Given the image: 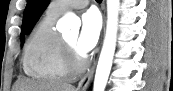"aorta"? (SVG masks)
Instances as JSON below:
<instances>
[{"mask_svg": "<svg viewBox=\"0 0 173 91\" xmlns=\"http://www.w3.org/2000/svg\"><path fill=\"white\" fill-rule=\"evenodd\" d=\"M119 2L120 0H107L106 35L96 69L93 91H104L110 74L116 47ZM79 26L80 19L68 13L62 18L57 28L59 30L72 28L73 31H77Z\"/></svg>", "mask_w": 173, "mask_h": 91, "instance_id": "762f6f07", "label": "aorta"}]
</instances>
